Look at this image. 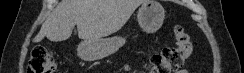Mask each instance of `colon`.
I'll return each instance as SVG.
<instances>
[{
  "label": "colon",
  "instance_id": "obj_1",
  "mask_svg": "<svg viewBox=\"0 0 244 73\" xmlns=\"http://www.w3.org/2000/svg\"><path fill=\"white\" fill-rule=\"evenodd\" d=\"M175 45L163 48L153 54L147 67L152 73H176L193 53V42L189 33L182 27L174 28ZM56 60L43 48H35L27 65L28 73H55Z\"/></svg>",
  "mask_w": 244,
  "mask_h": 73
}]
</instances>
